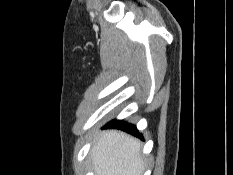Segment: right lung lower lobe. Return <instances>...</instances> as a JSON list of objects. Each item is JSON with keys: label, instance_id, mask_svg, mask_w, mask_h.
<instances>
[{"label": "right lung lower lobe", "instance_id": "1", "mask_svg": "<svg viewBox=\"0 0 233 175\" xmlns=\"http://www.w3.org/2000/svg\"><path fill=\"white\" fill-rule=\"evenodd\" d=\"M105 127L119 128V129L124 130V131H126L134 136L142 138L141 134L138 132L135 125L127 124V123L120 121V120H113V121L109 122Z\"/></svg>", "mask_w": 233, "mask_h": 175}]
</instances>
